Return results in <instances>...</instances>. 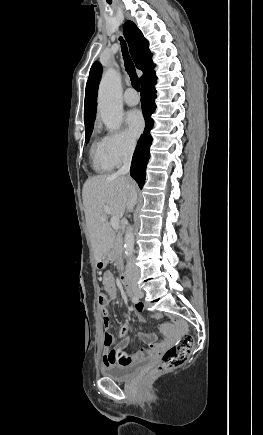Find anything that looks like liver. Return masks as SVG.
I'll return each mask as SVG.
<instances>
[{"label":"liver","mask_w":263,"mask_h":435,"mask_svg":"<svg viewBox=\"0 0 263 435\" xmlns=\"http://www.w3.org/2000/svg\"><path fill=\"white\" fill-rule=\"evenodd\" d=\"M135 187L131 178L117 174L90 177L84 183L82 198L85 218L96 262L109 254L115 239L104 207L109 208L112 216L122 218L129 191Z\"/></svg>","instance_id":"liver-1"}]
</instances>
